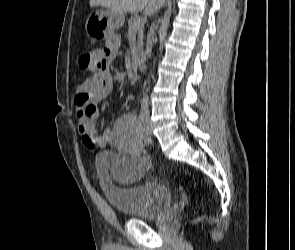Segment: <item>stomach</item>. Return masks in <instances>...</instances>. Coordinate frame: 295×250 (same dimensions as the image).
<instances>
[{
    "instance_id": "obj_1",
    "label": "stomach",
    "mask_w": 295,
    "mask_h": 250,
    "mask_svg": "<svg viewBox=\"0 0 295 250\" xmlns=\"http://www.w3.org/2000/svg\"><path fill=\"white\" fill-rule=\"evenodd\" d=\"M125 22V15L112 9L95 10L86 22V32L93 40H106V37L120 28Z\"/></svg>"
}]
</instances>
